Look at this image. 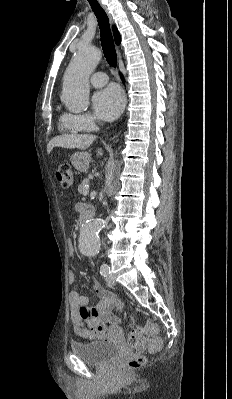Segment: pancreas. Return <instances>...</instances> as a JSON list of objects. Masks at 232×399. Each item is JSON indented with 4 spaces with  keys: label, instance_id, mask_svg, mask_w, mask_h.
Here are the masks:
<instances>
[{
    "label": "pancreas",
    "instance_id": "pancreas-1",
    "mask_svg": "<svg viewBox=\"0 0 232 399\" xmlns=\"http://www.w3.org/2000/svg\"><path fill=\"white\" fill-rule=\"evenodd\" d=\"M86 186H89L88 178H85V180H83V182H81L80 186H78L79 194H83V192H86V190H87Z\"/></svg>",
    "mask_w": 232,
    "mask_h": 399
}]
</instances>
